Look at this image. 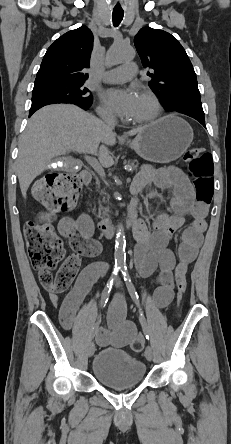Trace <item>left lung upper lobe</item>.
<instances>
[{
  "mask_svg": "<svg viewBox=\"0 0 231 444\" xmlns=\"http://www.w3.org/2000/svg\"><path fill=\"white\" fill-rule=\"evenodd\" d=\"M134 44L144 68H149L150 88L163 99L166 109L204 117L197 78L185 49L163 30L144 27Z\"/></svg>",
  "mask_w": 231,
  "mask_h": 444,
  "instance_id": "5c2ea615",
  "label": "left lung upper lobe"
}]
</instances>
